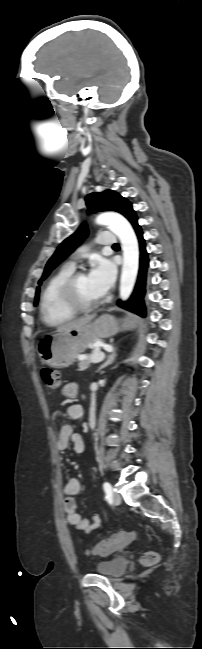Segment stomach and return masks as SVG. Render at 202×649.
<instances>
[{
	"label": "stomach",
	"mask_w": 202,
	"mask_h": 649,
	"mask_svg": "<svg viewBox=\"0 0 202 649\" xmlns=\"http://www.w3.org/2000/svg\"><path fill=\"white\" fill-rule=\"evenodd\" d=\"M128 326L123 325L124 328ZM118 331L117 321L105 314L82 328L43 337L38 342L37 352L42 362L53 368L68 367L91 343L115 335Z\"/></svg>",
	"instance_id": "stomach-1"
}]
</instances>
